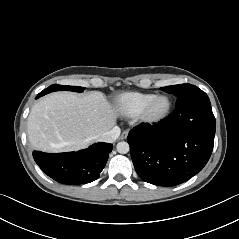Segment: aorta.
Wrapping results in <instances>:
<instances>
[{
	"mask_svg": "<svg viewBox=\"0 0 239 239\" xmlns=\"http://www.w3.org/2000/svg\"><path fill=\"white\" fill-rule=\"evenodd\" d=\"M116 149L120 154H126L129 152L130 148H129V144L125 141L119 142L116 145Z\"/></svg>",
	"mask_w": 239,
	"mask_h": 239,
	"instance_id": "1",
	"label": "aorta"
}]
</instances>
